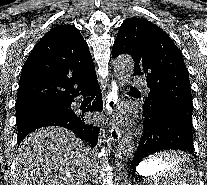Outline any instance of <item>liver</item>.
Listing matches in <instances>:
<instances>
[{"label":"liver","mask_w":207,"mask_h":185,"mask_svg":"<svg viewBox=\"0 0 207 185\" xmlns=\"http://www.w3.org/2000/svg\"><path fill=\"white\" fill-rule=\"evenodd\" d=\"M92 157V149L69 129H36L19 145L13 185H83Z\"/></svg>","instance_id":"6515ba94"}]
</instances>
